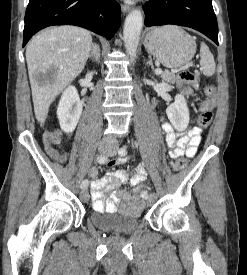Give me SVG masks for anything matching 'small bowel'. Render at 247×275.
I'll return each mask as SVG.
<instances>
[{"mask_svg": "<svg viewBox=\"0 0 247 275\" xmlns=\"http://www.w3.org/2000/svg\"><path fill=\"white\" fill-rule=\"evenodd\" d=\"M161 127L165 133V141L169 147V156L176 159L181 156L193 157L201 142L202 129L193 127L186 132L178 133L174 130L172 124L165 119L161 121ZM47 154L59 161L65 162L66 156L60 155L51 145L46 144ZM126 159H120L118 162H125ZM98 174V168L92 167L88 175L95 178ZM147 173L142 165L135 168V173L130 178L129 183L132 187L140 186L146 179ZM128 182V176L124 171L116 170L107 172L102 178L91 181V194L93 200V209L97 212H115L120 210L126 214H137L142 210L143 202L141 199L130 195L129 192L121 186ZM110 192V199H104V193Z\"/></svg>", "mask_w": 247, "mask_h": 275, "instance_id": "1", "label": "small bowel"}]
</instances>
